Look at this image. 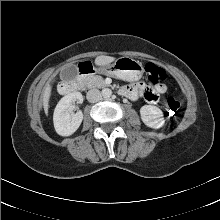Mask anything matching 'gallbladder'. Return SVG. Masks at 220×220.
Wrapping results in <instances>:
<instances>
[{"mask_svg":"<svg viewBox=\"0 0 220 220\" xmlns=\"http://www.w3.org/2000/svg\"><path fill=\"white\" fill-rule=\"evenodd\" d=\"M78 74V69L76 65H70L68 66L64 72H63V77L68 78V79H75Z\"/></svg>","mask_w":220,"mask_h":220,"instance_id":"1","label":"gallbladder"}]
</instances>
